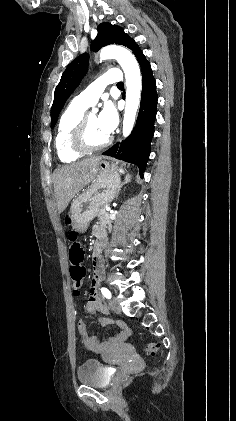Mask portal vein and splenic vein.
I'll return each mask as SVG.
<instances>
[{
  "label": "portal vein and splenic vein",
  "instance_id": "1",
  "mask_svg": "<svg viewBox=\"0 0 236 421\" xmlns=\"http://www.w3.org/2000/svg\"><path fill=\"white\" fill-rule=\"evenodd\" d=\"M107 210H109V211H110V207H107Z\"/></svg>",
  "mask_w": 236,
  "mask_h": 421
}]
</instances>
